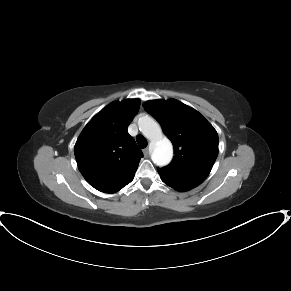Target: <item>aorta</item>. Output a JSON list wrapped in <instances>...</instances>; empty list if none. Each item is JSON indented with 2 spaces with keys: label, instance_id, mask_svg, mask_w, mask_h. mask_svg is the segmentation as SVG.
Returning a JSON list of instances; mask_svg holds the SVG:
<instances>
[{
  "label": "aorta",
  "instance_id": "1",
  "mask_svg": "<svg viewBox=\"0 0 291 291\" xmlns=\"http://www.w3.org/2000/svg\"><path fill=\"white\" fill-rule=\"evenodd\" d=\"M138 127L142 134L154 145L151 158L157 166H166L173 156V146L163 135L160 125L150 116H142L138 120Z\"/></svg>",
  "mask_w": 291,
  "mask_h": 291
}]
</instances>
